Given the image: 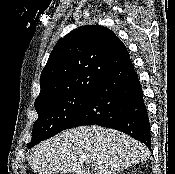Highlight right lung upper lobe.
Listing matches in <instances>:
<instances>
[{
	"mask_svg": "<svg viewBox=\"0 0 175 174\" xmlns=\"http://www.w3.org/2000/svg\"><path fill=\"white\" fill-rule=\"evenodd\" d=\"M125 45L103 26H83L61 39L51 52L40 77L36 102L96 85L113 70L130 62Z\"/></svg>",
	"mask_w": 175,
	"mask_h": 174,
	"instance_id": "obj_1",
	"label": "right lung upper lobe"
}]
</instances>
